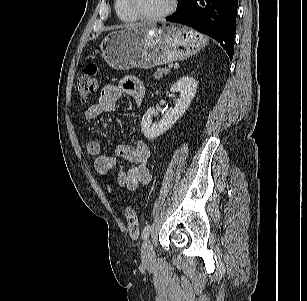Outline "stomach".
Listing matches in <instances>:
<instances>
[{
	"label": "stomach",
	"mask_w": 307,
	"mask_h": 301,
	"mask_svg": "<svg viewBox=\"0 0 307 301\" xmlns=\"http://www.w3.org/2000/svg\"><path fill=\"white\" fill-rule=\"evenodd\" d=\"M206 44V37L183 25L139 24L109 33L101 44V53L113 69H148L184 60Z\"/></svg>",
	"instance_id": "0dacf381"
}]
</instances>
